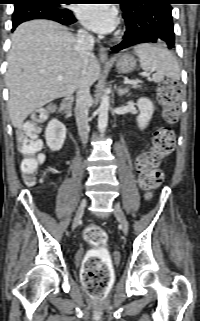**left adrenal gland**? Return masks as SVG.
<instances>
[{
    "label": "left adrenal gland",
    "mask_w": 200,
    "mask_h": 321,
    "mask_svg": "<svg viewBox=\"0 0 200 321\" xmlns=\"http://www.w3.org/2000/svg\"><path fill=\"white\" fill-rule=\"evenodd\" d=\"M117 89L118 95L123 96L126 95L128 93V88H122V87H115Z\"/></svg>",
    "instance_id": "left-adrenal-gland-1"
}]
</instances>
